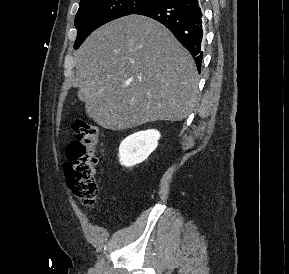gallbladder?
I'll use <instances>...</instances> for the list:
<instances>
[{
  "mask_svg": "<svg viewBox=\"0 0 289 274\" xmlns=\"http://www.w3.org/2000/svg\"><path fill=\"white\" fill-rule=\"evenodd\" d=\"M77 96L81 101L85 100V96H84L83 91L79 90Z\"/></svg>",
  "mask_w": 289,
  "mask_h": 274,
  "instance_id": "obj_1",
  "label": "gallbladder"
}]
</instances>
